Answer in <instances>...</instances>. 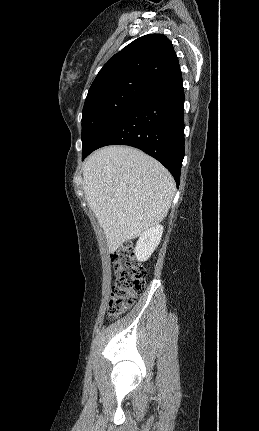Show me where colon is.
I'll use <instances>...</instances> for the list:
<instances>
[{
    "label": "colon",
    "instance_id": "5ec220e1",
    "mask_svg": "<svg viewBox=\"0 0 259 431\" xmlns=\"http://www.w3.org/2000/svg\"><path fill=\"white\" fill-rule=\"evenodd\" d=\"M114 283L108 303V316L115 319L130 308L144 290L146 270L136 260L131 242L123 243L111 255Z\"/></svg>",
    "mask_w": 259,
    "mask_h": 431
}]
</instances>
